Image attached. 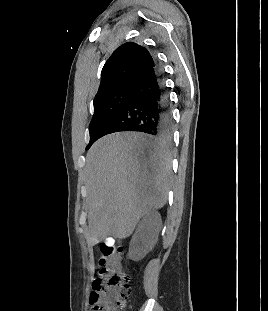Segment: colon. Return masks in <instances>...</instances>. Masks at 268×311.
Returning a JSON list of instances; mask_svg holds the SVG:
<instances>
[{"label": "colon", "instance_id": "1", "mask_svg": "<svg viewBox=\"0 0 268 311\" xmlns=\"http://www.w3.org/2000/svg\"><path fill=\"white\" fill-rule=\"evenodd\" d=\"M100 277L93 282L91 311H120L130 295L129 276L125 270L122 249L102 244L99 256Z\"/></svg>", "mask_w": 268, "mask_h": 311}]
</instances>
